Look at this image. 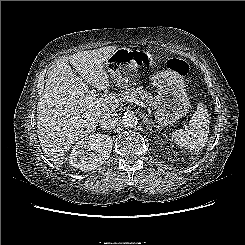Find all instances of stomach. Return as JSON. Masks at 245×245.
Instances as JSON below:
<instances>
[{"label":"stomach","mask_w":245,"mask_h":245,"mask_svg":"<svg viewBox=\"0 0 245 245\" xmlns=\"http://www.w3.org/2000/svg\"><path fill=\"white\" fill-rule=\"evenodd\" d=\"M153 62L154 56L149 51L123 47L117 49L105 64L113 83L127 88L136 83L138 68ZM151 83L157 88L154 110L159 125L175 123L188 113L190 103L182 76L171 70H162L151 77Z\"/></svg>","instance_id":"stomach-1"}]
</instances>
